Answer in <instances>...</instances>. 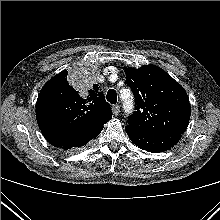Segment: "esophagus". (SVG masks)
Masks as SVG:
<instances>
[{"label":"esophagus","mask_w":220,"mask_h":220,"mask_svg":"<svg viewBox=\"0 0 220 220\" xmlns=\"http://www.w3.org/2000/svg\"><path fill=\"white\" fill-rule=\"evenodd\" d=\"M112 110H113V114H114V115H118L119 112H120V106H119V105H114V106L112 107Z\"/></svg>","instance_id":"obj_1"}]
</instances>
